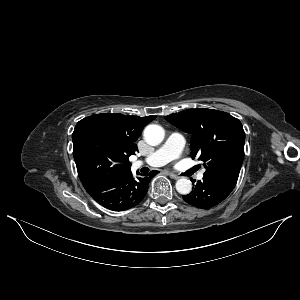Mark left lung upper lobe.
<instances>
[{"instance_id":"obj_1","label":"left lung upper lobe","mask_w":300,"mask_h":300,"mask_svg":"<svg viewBox=\"0 0 300 300\" xmlns=\"http://www.w3.org/2000/svg\"><path fill=\"white\" fill-rule=\"evenodd\" d=\"M192 134L191 157L204 162V177L235 187L244 158L245 132L241 122L228 113L205 108L188 109L165 116Z\"/></svg>"}]
</instances>
